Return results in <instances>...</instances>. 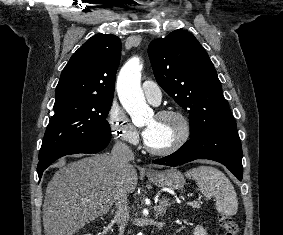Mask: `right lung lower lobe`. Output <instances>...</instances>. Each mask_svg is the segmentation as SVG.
<instances>
[{"label":"right lung lower lobe","mask_w":283,"mask_h":235,"mask_svg":"<svg viewBox=\"0 0 283 235\" xmlns=\"http://www.w3.org/2000/svg\"><path fill=\"white\" fill-rule=\"evenodd\" d=\"M110 139L111 135L94 137L89 140L75 141L73 143L67 144L54 150L46 157L39 159V163L37 166L39 178L42 177L43 171L58 158L69 154L98 152L108 145Z\"/></svg>","instance_id":"obj_1"}]
</instances>
